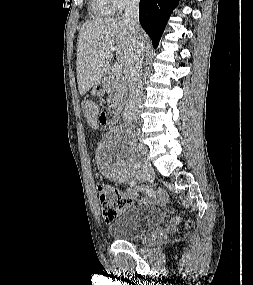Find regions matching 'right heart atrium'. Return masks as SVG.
Returning a JSON list of instances; mask_svg holds the SVG:
<instances>
[{
    "label": "right heart atrium",
    "instance_id": "right-heart-atrium-1",
    "mask_svg": "<svg viewBox=\"0 0 253 285\" xmlns=\"http://www.w3.org/2000/svg\"><path fill=\"white\" fill-rule=\"evenodd\" d=\"M115 10L121 11L127 7L135 5L139 0H110Z\"/></svg>",
    "mask_w": 253,
    "mask_h": 285
}]
</instances>
